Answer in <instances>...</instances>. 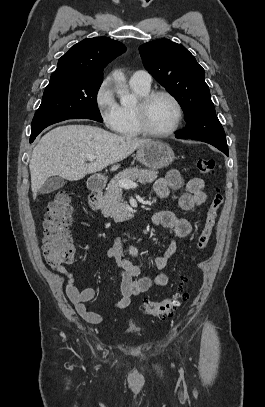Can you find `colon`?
Masks as SVG:
<instances>
[{"label":"colon","instance_id":"1","mask_svg":"<svg viewBox=\"0 0 265 407\" xmlns=\"http://www.w3.org/2000/svg\"><path fill=\"white\" fill-rule=\"evenodd\" d=\"M196 167L200 173L212 175L215 172V161L211 158H200L196 162ZM223 202V193L220 189H217L195 244L197 253L206 249L215 227L218 211ZM72 211V196L67 190L57 192L47 207L43 224L42 248L46 262L53 268L63 267L71 263L75 258V248L67 232ZM189 282L190 278L188 276H181L177 290L170 298L162 301L146 299L143 303L145 312L155 318L171 316L183 302L189 299L187 290Z\"/></svg>","mask_w":265,"mask_h":407}]
</instances>
